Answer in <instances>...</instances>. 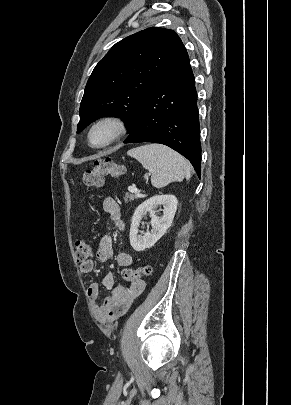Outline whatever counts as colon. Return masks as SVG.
<instances>
[{"label":"colon","mask_w":291,"mask_h":405,"mask_svg":"<svg viewBox=\"0 0 291 405\" xmlns=\"http://www.w3.org/2000/svg\"><path fill=\"white\" fill-rule=\"evenodd\" d=\"M126 168L123 165L117 164L111 159H103L95 162L92 169L85 171L83 175V183L92 188L102 186L104 177L110 175L118 178L125 174ZM76 259L83 263L93 255V246L85 238H79L75 242ZM151 269L149 266H140L135 269H125L122 276L125 281L134 283L141 280L142 277L149 275Z\"/></svg>","instance_id":"5ec220e1"}]
</instances>
